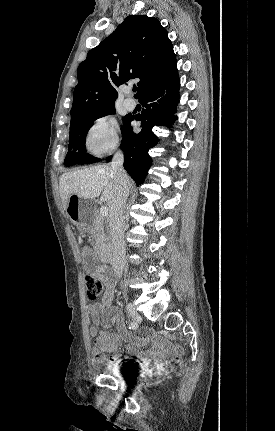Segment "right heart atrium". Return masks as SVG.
Segmentation results:
<instances>
[{"label":"right heart atrium","mask_w":275,"mask_h":431,"mask_svg":"<svg viewBox=\"0 0 275 431\" xmlns=\"http://www.w3.org/2000/svg\"><path fill=\"white\" fill-rule=\"evenodd\" d=\"M119 144V126L112 115H102L96 118L85 136L86 149L95 156L109 153Z\"/></svg>","instance_id":"d8ad5b80"}]
</instances>
